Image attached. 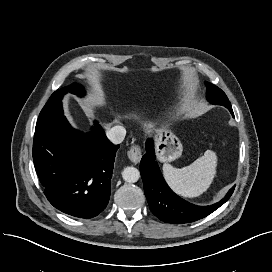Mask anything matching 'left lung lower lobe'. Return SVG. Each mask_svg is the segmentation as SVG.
<instances>
[{"label": "left lung lower lobe", "mask_w": 272, "mask_h": 272, "mask_svg": "<svg viewBox=\"0 0 272 272\" xmlns=\"http://www.w3.org/2000/svg\"><path fill=\"white\" fill-rule=\"evenodd\" d=\"M228 110L234 116L232 108ZM146 151L140 163L145 196L152 213L166 223L183 224L202 219L223 205L234 191L232 187L221 201L211 206L193 205L177 196L166 184L155 161L153 142L150 139L146 141Z\"/></svg>", "instance_id": "obj_1"}]
</instances>
